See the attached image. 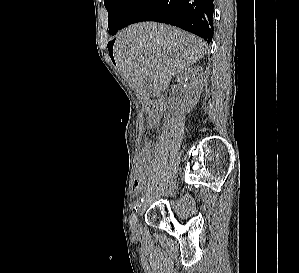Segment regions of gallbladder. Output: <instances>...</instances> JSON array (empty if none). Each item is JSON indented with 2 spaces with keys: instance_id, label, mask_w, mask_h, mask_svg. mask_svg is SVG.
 <instances>
[{
  "instance_id": "bac80fb5",
  "label": "gallbladder",
  "mask_w": 299,
  "mask_h": 273,
  "mask_svg": "<svg viewBox=\"0 0 299 273\" xmlns=\"http://www.w3.org/2000/svg\"><path fill=\"white\" fill-rule=\"evenodd\" d=\"M145 86H146V88H147L148 90H151V88H152V83H151L150 79H146V80H145Z\"/></svg>"
}]
</instances>
